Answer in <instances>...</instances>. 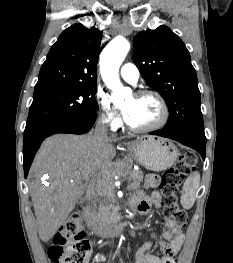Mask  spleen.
Returning <instances> with one entry per match:
<instances>
[{"label":"spleen","mask_w":233,"mask_h":263,"mask_svg":"<svg viewBox=\"0 0 233 263\" xmlns=\"http://www.w3.org/2000/svg\"><path fill=\"white\" fill-rule=\"evenodd\" d=\"M200 185V175L195 172L191 174L183 185V193L181 196V205L185 209H190L194 205L197 190Z\"/></svg>","instance_id":"1"}]
</instances>
